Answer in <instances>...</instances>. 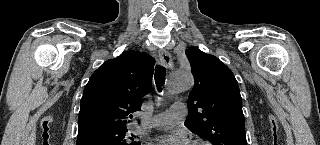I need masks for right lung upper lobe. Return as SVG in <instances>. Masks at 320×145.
Here are the masks:
<instances>
[{"label": "right lung upper lobe", "mask_w": 320, "mask_h": 145, "mask_svg": "<svg viewBox=\"0 0 320 145\" xmlns=\"http://www.w3.org/2000/svg\"><path fill=\"white\" fill-rule=\"evenodd\" d=\"M155 60L128 51L107 60L90 77L80 101L78 136L110 128H124L142 97L149 92Z\"/></svg>", "instance_id": "obj_1"}]
</instances>
